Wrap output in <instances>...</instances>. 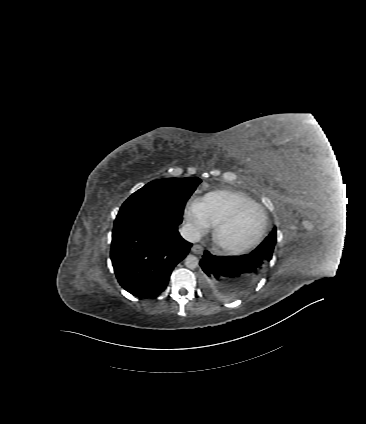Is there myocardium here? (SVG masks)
<instances>
[{
  "instance_id": "myocardium-1",
  "label": "myocardium",
  "mask_w": 366,
  "mask_h": 424,
  "mask_svg": "<svg viewBox=\"0 0 366 424\" xmlns=\"http://www.w3.org/2000/svg\"><path fill=\"white\" fill-rule=\"evenodd\" d=\"M252 207L257 208L261 212L263 217V225L261 230L257 234V236L251 241L244 244H239V245H232V244H227L223 242L221 239L222 232L227 227H229L244 210L248 208H252ZM267 228H268V217L265 210L257 203H245L236 207L225 218H223L216 225H214L213 231H212V240L216 248H218L219 250L229 254H240L256 246L264 237L267 231Z\"/></svg>"
}]
</instances>
